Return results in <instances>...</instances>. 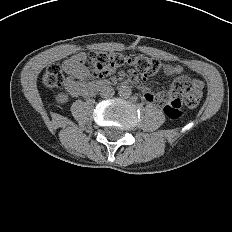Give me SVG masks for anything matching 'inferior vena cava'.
<instances>
[{
  "label": "inferior vena cava",
  "instance_id": "602c4592",
  "mask_svg": "<svg viewBox=\"0 0 232 232\" xmlns=\"http://www.w3.org/2000/svg\"><path fill=\"white\" fill-rule=\"evenodd\" d=\"M114 94H115L114 88L111 86H104L100 90V96L102 98H106V99L111 98L114 96Z\"/></svg>",
  "mask_w": 232,
  "mask_h": 232
}]
</instances>
